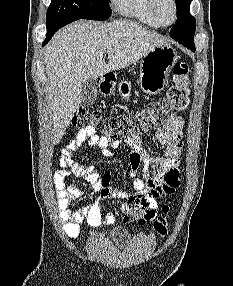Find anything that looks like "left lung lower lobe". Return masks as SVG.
<instances>
[{"instance_id": "0a47b994", "label": "left lung lower lobe", "mask_w": 233, "mask_h": 286, "mask_svg": "<svg viewBox=\"0 0 233 286\" xmlns=\"http://www.w3.org/2000/svg\"><path fill=\"white\" fill-rule=\"evenodd\" d=\"M180 44L186 46L187 48H190L193 52L195 51V46L193 42V38L191 39H180L177 40Z\"/></svg>"}]
</instances>
